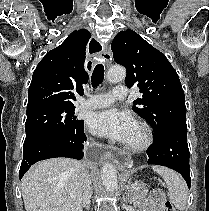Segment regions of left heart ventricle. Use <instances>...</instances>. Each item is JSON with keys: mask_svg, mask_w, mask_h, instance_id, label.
<instances>
[{"mask_svg": "<svg viewBox=\"0 0 209 211\" xmlns=\"http://www.w3.org/2000/svg\"><path fill=\"white\" fill-rule=\"evenodd\" d=\"M139 136H140L139 130L136 127L134 132H133V134H132V136L130 137V139L126 143H134V142H136L139 139Z\"/></svg>", "mask_w": 209, "mask_h": 211, "instance_id": "b2bd125f", "label": "left heart ventricle"}]
</instances>
